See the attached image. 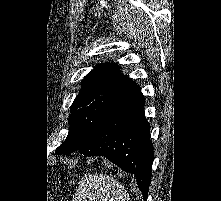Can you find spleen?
<instances>
[{"label":"spleen","mask_w":221,"mask_h":201,"mask_svg":"<svg viewBox=\"0 0 221 201\" xmlns=\"http://www.w3.org/2000/svg\"><path fill=\"white\" fill-rule=\"evenodd\" d=\"M124 186L105 174H90L79 182L72 201H129Z\"/></svg>","instance_id":"1"}]
</instances>
